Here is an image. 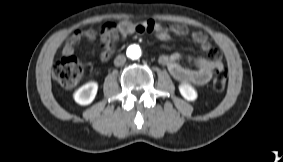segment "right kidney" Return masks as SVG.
<instances>
[{
  "mask_svg": "<svg viewBox=\"0 0 283 162\" xmlns=\"http://www.w3.org/2000/svg\"><path fill=\"white\" fill-rule=\"evenodd\" d=\"M97 90L98 84L96 82H88L74 93V100L80 105H88L94 100Z\"/></svg>",
  "mask_w": 283,
  "mask_h": 162,
  "instance_id": "obj_1",
  "label": "right kidney"
}]
</instances>
